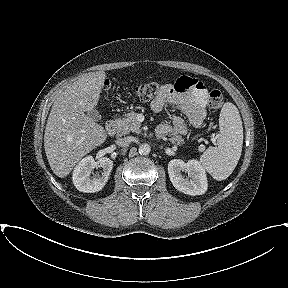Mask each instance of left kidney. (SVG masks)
Returning <instances> with one entry per match:
<instances>
[{"instance_id":"5707ae66","label":"left kidney","mask_w":288,"mask_h":288,"mask_svg":"<svg viewBox=\"0 0 288 288\" xmlns=\"http://www.w3.org/2000/svg\"><path fill=\"white\" fill-rule=\"evenodd\" d=\"M182 172L188 174L184 178ZM168 174L173 186L180 192L191 196L202 195L207 191V177L204 167L197 160L174 159L168 164Z\"/></svg>"}]
</instances>
